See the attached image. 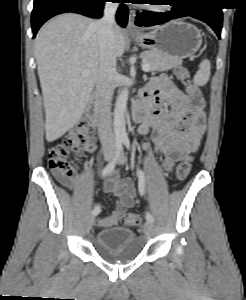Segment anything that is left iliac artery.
Segmentation results:
<instances>
[{
    "mask_svg": "<svg viewBox=\"0 0 246 300\" xmlns=\"http://www.w3.org/2000/svg\"><path fill=\"white\" fill-rule=\"evenodd\" d=\"M123 142L125 144V146L130 149V142H129V139L127 137H125L123 139ZM138 189H139V193L141 196H143L145 194V189H146V178H145V174L142 170H138ZM146 220L147 221H150V222H154V218L153 216L149 213V212H146Z\"/></svg>",
    "mask_w": 246,
    "mask_h": 300,
    "instance_id": "left-iliac-artery-1",
    "label": "left iliac artery"
}]
</instances>
